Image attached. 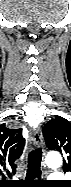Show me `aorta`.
Segmentation results:
<instances>
[{"mask_svg":"<svg viewBox=\"0 0 71 187\" xmlns=\"http://www.w3.org/2000/svg\"><path fill=\"white\" fill-rule=\"evenodd\" d=\"M48 167L57 168L62 165V157L58 152L48 153L45 158Z\"/></svg>","mask_w":71,"mask_h":187,"instance_id":"762f6f07","label":"aorta"}]
</instances>
